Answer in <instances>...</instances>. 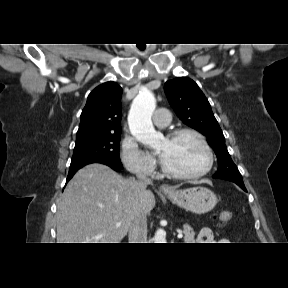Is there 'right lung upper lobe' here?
<instances>
[{
  "instance_id": "cb5924a9",
  "label": "right lung upper lobe",
  "mask_w": 288,
  "mask_h": 288,
  "mask_svg": "<svg viewBox=\"0 0 288 288\" xmlns=\"http://www.w3.org/2000/svg\"><path fill=\"white\" fill-rule=\"evenodd\" d=\"M121 95L122 88L113 81L99 85L89 94L76 141L121 133Z\"/></svg>"
}]
</instances>
